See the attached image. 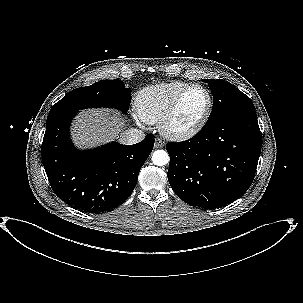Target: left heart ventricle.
I'll use <instances>...</instances> for the list:
<instances>
[{
  "label": "left heart ventricle",
  "instance_id": "left-heart-ventricle-1",
  "mask_svg": "<svg viewBox=\"0 0 303 303\" xmlns=\"http://www.w3.org/2000/svg\"><path fill=\"white\" fill-rule=\"evenodd\" d=\"M207 106V96L200 88L192 89L183 99L173 120V127L185 129L195 124Z\"/></svg>",
  "mask_w": 303,
  "mask_h": 303
}]
</instances>
